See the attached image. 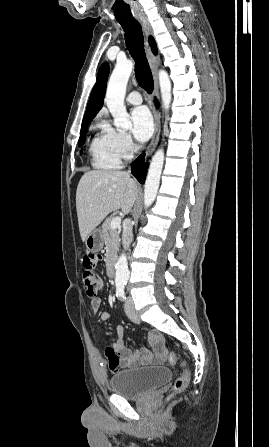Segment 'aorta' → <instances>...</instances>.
Here are the masks:
<instances>
[{"label": "aorta", "instance_id": "1", "mask_svg": "<svg viewBox=\"0 0 269 447\" xmlns=\"http://www.w3.org/2000/svg\"><path fill=\"white\" fill-rule=\"evenodd\" d=\"M134 68L131 60H117V64L111 74L108 82L106 98L104 100L114 122L115 128L122 130H130L132 122L129 114H127L126 106H124V98L126 94V86ZM159 86L163 108L168 112L172 100L171 82L167 72L159 70L158 72ZM164 150L160 148L155 152L148 170L145 186H144V206L149 208L157 196L160 184V176L164 164ZM130 271L127 265V257L125 253H121L116 263V285H125L128 281Z\"/></svg>", "mask_w": 269, "mask_h": 447}]
</instances>
